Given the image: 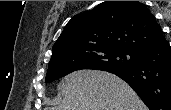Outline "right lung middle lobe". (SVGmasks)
I'll use <instances>...</instances> for the list:
<instances>
[{
  "mask_svg": "<svg viewBox=\"0 0 171 110\" xmlns=\"http://www.w3.org/2000/svg\"><path fill=\"white\" fill-rule=\"evenodd\" d=\"M137 52L125 48L91 49L51 58L45 82H52L79 69L111 70L132 66Z\"/></svg>",
  "mask_w": 171,
  "mask_h": 110,
  "instance_id": "1",
  "label": "right lung middle lobe"
}]
</instances>
